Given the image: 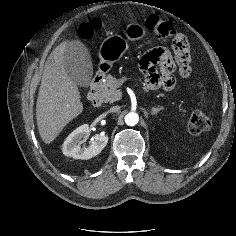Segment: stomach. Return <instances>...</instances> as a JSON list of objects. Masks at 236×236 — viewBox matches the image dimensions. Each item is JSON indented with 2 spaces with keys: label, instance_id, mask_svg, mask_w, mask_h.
Returning <instances> with one entry per match:
<instances>
[{
  "label": "stomach",
  "instance_id": "1",
  "mask_svg": "<svg viewBox=\"0 0 236 236\" xmlns=\"http://www.w3.org/2000/svg\"><path fill=\"white\" fill-rule=\"evenodd\" d=\"M146 34L147 32L144 26L139 23H130L125 28L127 39H124L120 35H111L107 37L102 42L99 49V58L102 66L101 72H105L107 69L111 68L115 62L120 60L128 50V40H141Z\"/></svg>",
  "mask_w": 236,
  "mask_h": 236
}]
</instances>
